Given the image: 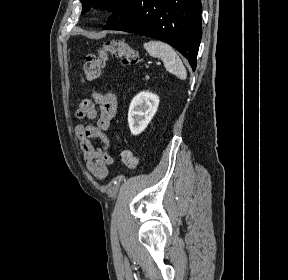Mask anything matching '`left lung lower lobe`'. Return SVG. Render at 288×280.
Returning a JSON list of instances; mask_svg holds the SVG:
<instances>
[{"label": "left lung lower lobe", "instance_id": "0a47b994", "mask_svg": "<svg viewBox=\"0 0 288 280\" xmlns=\"http://www.w3.org/2000/svg\"><path fill=\"white\" fill-rule=\"evenodd\" d=\"M104 30L153 37L177 49L193 70L202 36L201 0H133Z\"/></svg>", "mask_w": 288, "mask_h": 280}]
</instances>
